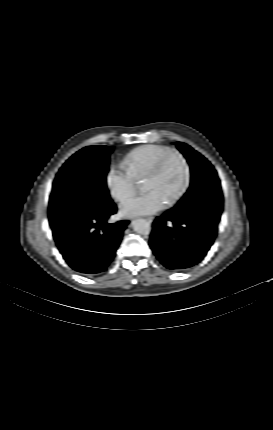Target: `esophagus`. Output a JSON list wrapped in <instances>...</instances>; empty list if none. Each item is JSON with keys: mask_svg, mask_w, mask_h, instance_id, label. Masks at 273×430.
<instances>
[{"mask_svg": "<svg viewBox=\"0 0 273 430\" xmlns=\"http://www.w3.org/2000/svg\"><path fill=\"white\" fill-rule=\"evenodd\" d=\"M146 220L152 222L154 220V217H146Z\"/></svg>", "mask_w": 273, "mask_h": 430, "instance_id": "obj_1", "label": "esophagus"}]
</instances>
